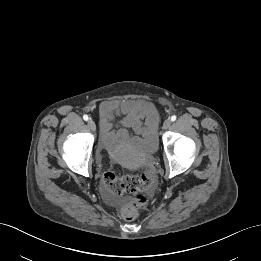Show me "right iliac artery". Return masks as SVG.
I'll use <instances>...</instances> for the list:
<instances>
[{"label":"right iliac artery","mask_w":261,"mask_h":261,"mask_svg":"<svg viewBox=\"0 0 261 261\" xmlns=\"http://www.w3.org/2000/svg\"><path fill=\"white\" fill-rule=\"evenodd\" d=\"M83 119H84L85 121H88V119H89L88 115H84V116H83Z\"/></svg>","instance_id":"82829eb1"}]
</instances>
